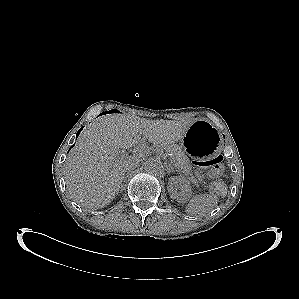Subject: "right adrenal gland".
Segmentation results:
<instances>
[{"label":"right adrenal gland","instance_id":"obj_1","mask_svg":"<svg viewBox=\"0 0 299 299\" xmlns=\"http://www.w3.org/2000/svg\"><path fill=\"white\" fill-rule=\"evenodd\" d=\"M126 179H127V177L125 176L124 179H123L124 182L126 181ZM121 190H123V185L121 186Z\"/></svg>","mask_w":299,"mask_h":299}]
</instances>
